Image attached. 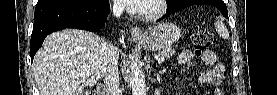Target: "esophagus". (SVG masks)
I'll return each mask as SVG.
<instances>
[{
  "label": "esophagus",
  "mask_w": 277,
  "mask_h": 95,
  "mask_svg": "<svg viewBox=\"0 0 277 95\" xmlns=\"http://www.w3.org/2000/svg\"><path fill=\"white\" fill-rule=\"evenodd\" d=\"M131 36L133 39H142L144 38L143 29L139 26H135L131 30Z\"/></svg>",
  "instance_id": "esophagus-1"
}]
</instances>
